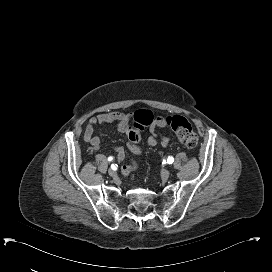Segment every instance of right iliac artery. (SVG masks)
Returning <instances> with one entry per match:
<instances>
[{"label": "right iliac artery", "mask_w": 272, "mask_h": 272, "mask_svg": "<svg viewBox=\"0 0 272 272\" xmlns=\"http://www.w3.org/2000/svg\"><path fill=\"white\" fill-rule=\"evenodd\" d=\"M112 160H113V157H109V158H108V161H112ZM111 168H112L113 170H116V167H115L114 164L111 165Z\"/></svg>", "instance_id": "obj_1"}]
</instances>
